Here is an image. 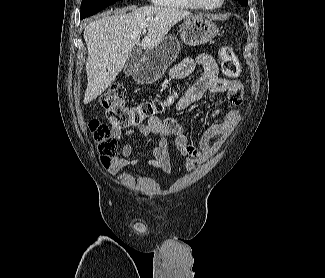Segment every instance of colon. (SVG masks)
I'll use <instances>...</instances> for the list:
<instances>
[{
	"instance_id": "obj_1",
	"label": "colon",
	"mask_w": 325,
	"mask_h": 278,
	"mask_svg": "<svg viewBox=\"0 0 325 278\" xmlns=\"http://www.w3.org/2000/svg\"><path fill=\"white\" fill-rule=\"evenodd\" d=\"M219 59L223 73L230 79H236L241 73V63L237 55L229 46H222L219 50ZM127 92L123 86L113 85L100 97V105L105 110L106 116L113 127L126 128L142 124L162 113L176 98L170 94L162 99H155L128 106L126 103ZM89 129L98 145L101 161L104 165L110 162V157L116 152V140L108 125L91 120Z\"/></svg>"
}]
</instances>
